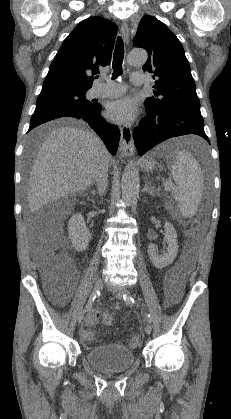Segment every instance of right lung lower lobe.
Instances as JSON below:
<instances>
[{
	"mask_svg": "<svg viewBox=\"0 0 231 419\" xmlns=\"http://www.w3.org/2000/svg\"><path fill=\"white\" fill-rule=\"evenodd\" d=\"M101 105L89 108L63 104L38 105L31 118L28 132L37 125L60 117H73L86 121L100 136L111 154L115 155L119 145L120 131L115 125L107 123L100 115Z\"/></svg>",
	"mask_w": 231,
	"mask_h": 419,
	"instance_id": "98d812e1",
	"label": "right lung lower lobe"
}]
</instances>
